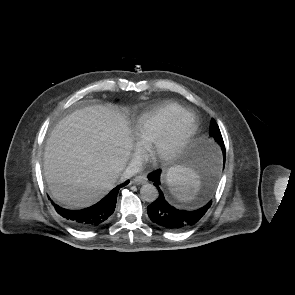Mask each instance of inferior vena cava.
<instances>
[{"label": "inferior vena cava", "instance_id": "1", "mask_svg": "<svg viewBox=\"0 0 295 295\" xmlns=\"http://www.w3.org/2000/svg\"><path fill=\"white\" fill-rule=\"evenodd\" d=\"M142 170V164L140 161L132 160L126 169L124 170L122 177L123 179H128L133 175L139 173Z\"/></svg>", "mask_w": 295, "mask_h": 295}]
</instances>
